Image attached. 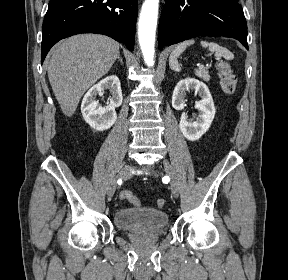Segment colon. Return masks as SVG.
Segmentation results:
<instances>
[{
	"label": "colon",
	"mask_w": 288,
	"mask_h": 280,
	"mask_svg": "<svg viewBox=\"0 0 288 280\" xmlns=\"http://www.w3.org/2000/svg\"><path fill=\"white\" fill-rule=\"evenodd\" d=\"M215 69L220 78V86L222 91L225 94L234 93L236 89L237 78L230 63L224 60H219L215 64ZM121 197L135 206H140V200L130 191H123L121 193ZM156 204L158 208H163L165 205V200L162 198L157 199Z\"/></svg>",
	"instance_id": "1"
}]
</instances>
